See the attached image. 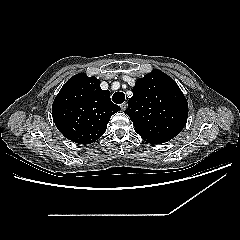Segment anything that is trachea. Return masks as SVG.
I'll list each match as a JSON object with an SVG mask.
<instances>
[{
  "instance_id": "3493384b",
  "label": "trachea",
  "mask_w": 240,
  "mask_h": 240,
  "mask_svg": "<svg viewBox=\"0 0 240 240\" xmlns=\"http://www.w3.org/2000/svg\"><path fill=\"white\" fill-rule=\"evenodd\" d=\"M112 101L116 104H121L125 101V94L123 92H116L112 96Z\"/></svg>"
}]
</instances>
